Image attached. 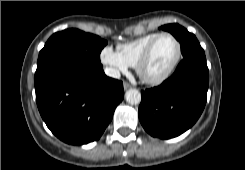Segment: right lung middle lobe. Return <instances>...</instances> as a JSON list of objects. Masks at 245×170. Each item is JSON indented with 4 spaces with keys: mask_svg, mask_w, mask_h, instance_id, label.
I'll list each match as a JSON object with an SVG mask.
<instances>
[{
    "mask_svg": "<svg viewBox=\"0 0 245 170\" xmlns=\"http://www.w3.org/2000/svg\"><path fill=\"white\" fill-rule=\"evenodd\" d=\"M107 42L78 29L53 34L40 51L35 80L58 64L68 61L100 63V52Z\"/></svg>",
    "mask_w": 245,
    "mask_h": 170,
    "instance_id": "obj_1",
    "label": "right lung middle lobe"
}]
</instances>
